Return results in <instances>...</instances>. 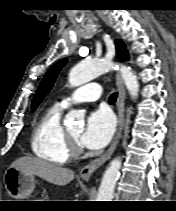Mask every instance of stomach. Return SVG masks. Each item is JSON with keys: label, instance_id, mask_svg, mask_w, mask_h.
I'll return each instance as SVG.
<instances>
[{"label": "stomach", "instance_id": "1", "mask_svg": "<svg viewBox=\"0 0 176 211\" xmlns=\"http://www.w3.org/2000/svg\"><path fill=\"white\" fill-rule=\"evenodd\" d=\"M4 182L7 192L15 199L29 198L35 188L34 175L26 174L11 167L5 172Z\"/></svg>", "mask_w": 176, "mask_h": 211}]
</instances>
